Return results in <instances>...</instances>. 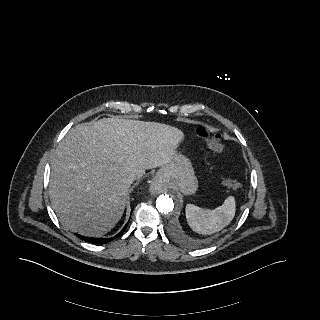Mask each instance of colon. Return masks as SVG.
<instances>
[{"mask_svg": "<svg viewBox=\"0 0 320 320\" xmlns=\"http://www.w3.org/2000/svg\"><path fill=\"white\" fill-rule=\"evenodd\" d=\"M197 134L206 139L209 147L216 153H220L223 150V144L221 141V136L218 133H211L204 127H199L197 129ZM222 184L231 189H236L240 187V183L237 180L224 177L222 178Z\"/></svg>", "mask_w": 320, "mask_h": 320, "instance_id": "1", "label": "colon"}]
</instances>
